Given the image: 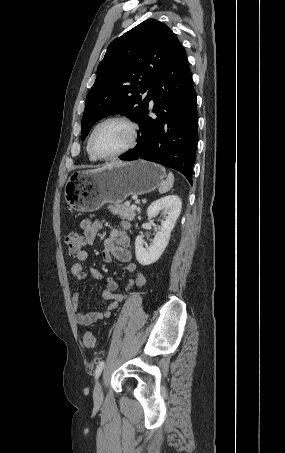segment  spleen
<instances>
[{
    "instance_id": "spleen-1",
    "label": "spleen",
    "mask_w": 285,
    "mask_h": 453,
    "mask_svg": "<svg viewBox=\"0 0 285 453\" xmlns=\"http://www.w3.org/2000/svg\"><path fill=\"white\" fill-rule=\"evenodd\" d=\"M173 184H174V175L169 172L167 178L165 181H163L159 187V193H166L168 192L172 187H173Z\"/></svg>"
}]
</instances>
